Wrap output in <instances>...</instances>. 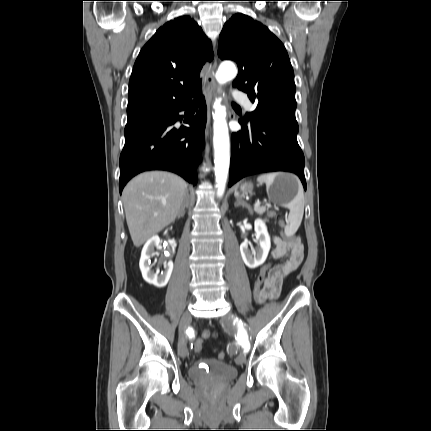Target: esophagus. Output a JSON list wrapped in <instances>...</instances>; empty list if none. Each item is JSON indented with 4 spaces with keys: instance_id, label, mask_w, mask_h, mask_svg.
<instances>
[{
    "instance_id": "34e87169",
    "label": "esophagus",
    "mask_w": 431,
    "mask_h": 431,
    "mask_svg": "<svg viewBox=\"0 0 431 431\" xmlns=\"http://www.w3.org/2000/svg\"><path fill=\"white\" fill-rule=\"evenodd\" d=\"M217 67V59L216 54L214 57V61L209 65L207 70V88H206V102L208 106V121H207V128H210V120H211V113H210V107L212 104V101L214 97L216 96L217 92V84L215 81V71Z\"/></svg>"
}]
</instances>
